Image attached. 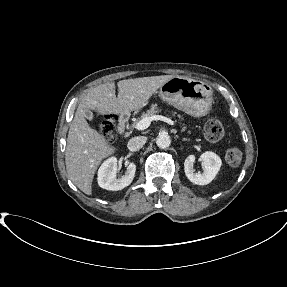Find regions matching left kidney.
I'll return each mask as SVG.
<instances>
[{
  "label": "left kidney",
  "mask_w": 287,
  "mask_h": 287,
  "mask_svg": "<svg viewBox=\"0 0 287 287\" xmlns=\"http://www.w3.org/2000/svg\"><path fill=\"white\" fill-rule=\"evenodd\" d=\"M203 162L204 171L202 173H195L193 164L195 162V155H189L184 162V171L187 178L194 184L207 185L217 175L221 167V159L214 152H204L200 156Z\"/></svg>",
  "instance_id": "5707ae66"
}]
</instances>
